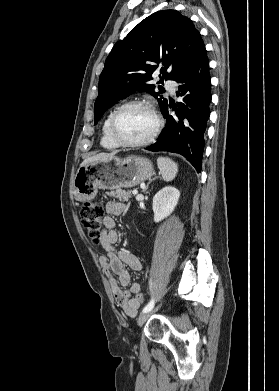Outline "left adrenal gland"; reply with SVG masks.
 <instances>
[{"label":"left adrenal gland","mask_w":279,"mask_h":391,"mask_svg":"<svg viewBox=\"0 0 279 391\" xmlns=\"http://www.w3.org/2000/svg\"><path fill=\"white\" fill-rule=\"evenodd\" d=\"M156 178H157V177L153 178L152 180H150V181L148 182L147 186L143 189V192H145V191L148 189L149 184H150L152 181H154Z\"/></svg>","instance_id":"obj_1"}]
</instances>
